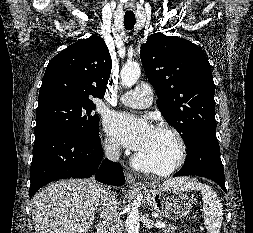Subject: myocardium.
Listing matches in <instances>:
<instances>
[{
	"mask_svg": "<svg viewBox=\"0 0 253 233\" xmlns=\"http://www.w3.org/2000/svg\"><path fill=\"white\" fill-rule=\"evenodd\" d=\"M154 129L167 132L175 139L178 145V156L176 160L168 167L162 168L143 162L142 160H140L137 154H135L132 158V164L136 169L140 171L159 176H167L184 165L188 156V147L183 135L174 126L167 123H160L156 125Z\"/></svg>",
	"mask_w": 253,
	"mask_h": 233,
	"instance_id": "f54148a6",
	"label": "myocardium"
}]
</instances>
